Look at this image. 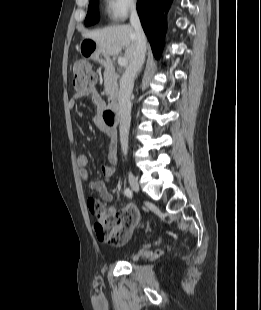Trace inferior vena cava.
I'll list each match as a JSON object with an SVG mask.
<instances>
[{"instance_id":"inferior-vena-cava-1","label":"inferior vena cava","mask_w":261,"mask_h":310,"mask_svg":"<svg viewBox=\"0 0 261 310\" xmlns=\"http://www.w3.org/2000/svg\"><path fill=\"white\" fill-rule=\"evenodd\" d=\"M130 23L136 35L135 52L121 77L118 96L120 141L124 155H127L128 150V135L131 122V94L134 86V78L136 73L141 70L146 54V37L135 8L131 11Z\"/></svg>"}]
</instances>
